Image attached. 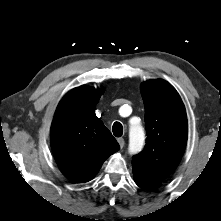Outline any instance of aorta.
Wrapping results in <instances>:
<instances>
[{
    "label": "aorta",
    "mask_w": 221,
    "mask_h": 221,
    "mask_svg": "<svg viewBox=\"0 0 221 221\" xmlns=\"http://www.w3.org/2000/svg\"><path fill=\"white\" fill-rule=\"evenodd\" d=\"M144 130L139 124H132L129 131V148L130 154L139 153L144 145Z\"/></svg>",
    "instance_id": "aorta-1"
}]
</instances>
